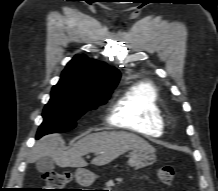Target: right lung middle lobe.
Returning <instances> with one entry per match:
<instances>
[{"instance_id":"right-lung-middle-lobe-1","label":"right lung middle lobe","mask_w":218,"mask_h":191,"mask_svg":"<svg viewBox=\"0 0 218 191\" xmlns=\"http://www.w3.org/2000/svg\"><path fill=\"white\" fill-rule=\"evenodd\" d=\"M110 95L86 96L54 86L51 98L43 111V122L38 129L37 138L55 132L69 131L76 121L87 111L105 104Z\"/></svg>"}]
</instances>
